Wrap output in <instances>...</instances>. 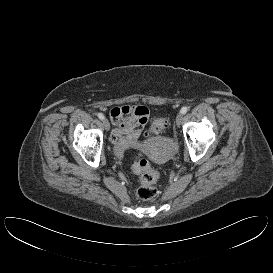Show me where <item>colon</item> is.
<instances>
[{
    "label": "colon",
    "mask_w": 273,
    "mask_h": 273,
    "mask_svg": "<svg viewBox=\"0 0 273 273\" xmlns=\"http://www.w3.org/2000/svg\"><path fill=\"white\" fill-rule=\"evenodd\" d=\"M167 125L168 120L166 118H158L153 122L150 133L155 135L160 134L166 129ZM132 170L139 176L138 198L141 200L155 198L158 193L156 183L159 179V172L146 159L136 161Z\"/></svg>",
    "instance_id": "obj_1"
}]
</instances>
